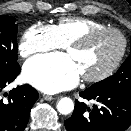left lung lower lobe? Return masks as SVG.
Wrapping results in <instances>:
<instances>
[{"instance_id": "left-lung-lower-lobe-1", "label": "left lung lower lobe", "mask_w": 131, "mask_h": 131, "mask_svg": "<svg viewBox=\"0 0 131 131\" xmlns=\"http://www.w3.org/2000/svg\"><path fill=\"white\" fill-rule=\"evenodd\" d=\"M80 96L100 105L90 109L76 100L72 116L64 121L67 131H125L131 125V95L89 87Z\"/></svg>"}]
</instances>
